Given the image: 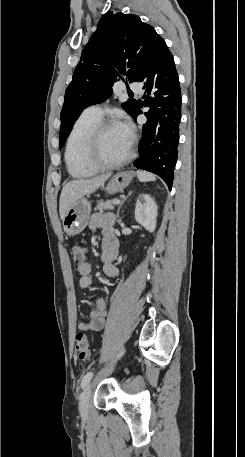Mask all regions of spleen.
<instances>
[{"mask_svg": "<svg viewBox=\"0 0 245 457\" xmlns=\"http://www.w3.org/2000/svg\"><path fill=\"white\" fill-rule=\"evenodd\" d=\"M137 176L141 182H147V180H156L155 174L147 172V170H137Z\"/></svg>", "mask_w": 245, "mask_h": 457, "instance_id": "spleen-1", "label": "spleen"}]
</instances>
